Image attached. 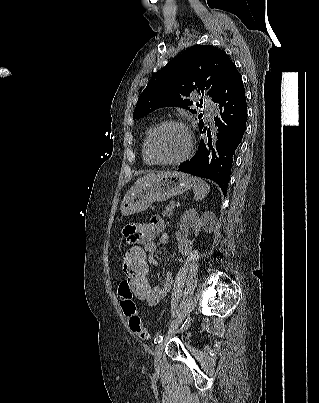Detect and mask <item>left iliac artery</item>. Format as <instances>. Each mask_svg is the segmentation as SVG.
I'll list each match as a JSON object with an SVG mask.
<instances>
[{
    "label": "left iliac artery",
    "instance_id": "left-iliac-artery-1",
    "mask_svg": "<svg viewBox=\"0 0 319 403\" xmlns=\"http://www.w3.org/2000/svg\"><path fill=\"white\" fill-rule=\"evenodd\" d=\"M189 323H190V318L188 317V318L185 320L184 324L181 326L180 330L185 329V327H186ZM163 337H164L163 335L157 336V337L154 339V343H155V344L160 343V342L163 340Z\"/></svg>",
    "mask_w": 319,
    "mask_h": 403
}]
</instances>
